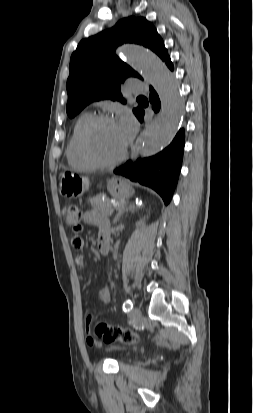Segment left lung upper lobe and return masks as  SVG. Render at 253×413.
<instances>
[{
	"instance_id": "1",
	"label": "left lung upper lobe",
	"mask_w": 253,
	"mask_h": 413,
	"mask_svg": "<svg viewBox=\"0 0 253 413\" xmlns=\"http://www.w3.org/2000/svg\"><path fill=\"white\" fill-rule=\"evenodd\" d=\"M128 42L151 49L163 61L169 57L156 28L143 17L123 18L111 29L83 39L70 59L66 107L70 118L95 100L111 99L125 103L120 91L121 83L128 77L142 79L114 53L119 45ZM141 110L137 107L133 112L137 116Z\"/></svg>"
}]
</instances>
